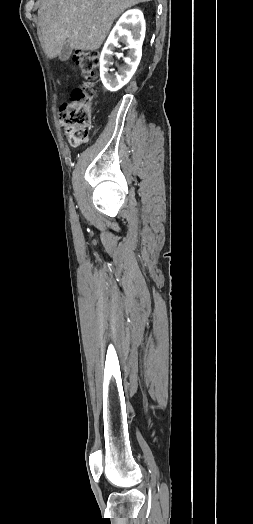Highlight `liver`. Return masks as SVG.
Segmentation results:
<instances>
[{
    "mask_svg": "<svg viewBox=\"0 0 253 524\" xmlns=\"http://www.w3.org/2000/svg\"><path fill=\"white\" fill-rule=\"evenodd\" d=\"M149 1L40 0L38 26L47 57L59 55L66 42L75 50L98 49L122 12Z\"/></svg>",
    "mask_w": 253,
    "mask_h": 524,
    "instance_id": "liver-1",
    "label": "liver"
}]
</instances>
